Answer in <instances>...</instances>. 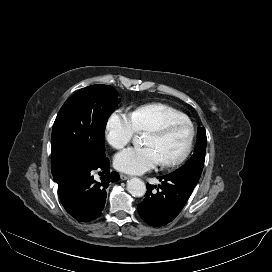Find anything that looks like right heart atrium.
I'll return each instance as SVG.
<instances>
[{"label":"right heart atrium","mask_w":272,"mask_h":272,"mask_svg":"<svg viewBox=\"0 0 272 272\" xmlns=\"http://www.w3.org/2000/svg\"><path fill=\"white\" fill-rule=\"evenodd\" d=\"M137 133L131 112L123 109L111 112L105 124V138L113 148H123Z\"/></svg>","instance_id":"obj_1"}]
</instances>
